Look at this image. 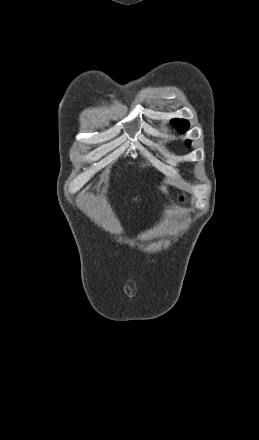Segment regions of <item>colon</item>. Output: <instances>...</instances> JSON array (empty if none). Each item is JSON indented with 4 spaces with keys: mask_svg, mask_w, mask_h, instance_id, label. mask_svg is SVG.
Wrapping results in <instances>:
<instances>
[{
    "mask_svg": "<svg viewBox=\"0 0 259 440\" xmlns=\"http://www.w3.org/2000/svg\"><path fill=\"white\" fill-rule=\"evenodd\" d=\"M184 199H185V196H184V195H182V196H181V200H184Z\"/></svg>",
    "mask_w": 259,
    "mask_h": 440,
    "instance_id": "colon-1",
    "label": "colon"
}]
</instances>
